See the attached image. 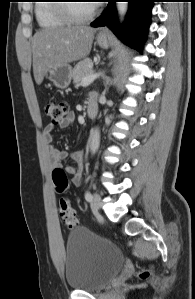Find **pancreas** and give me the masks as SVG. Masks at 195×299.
Returning <instances> with one entry per match:
<instances>
[{"instance_id":"cf45deb5","label":"pancreas","mask_w":195,"mask_h":299,"mask_svg":"<svg viewBox=\"0 0 195 299\" xmlns=\"http://www.w3.org/2000/svg\"><path fill=\"white\" fill-rule=\"evenodd\" d=\"M93 62L90 58L83 59L82 61L78 62L73 71L72 77L74 83L78 86L81 85L82 79L89 76L93 73Z\"/></svg>"}]
</instances>
